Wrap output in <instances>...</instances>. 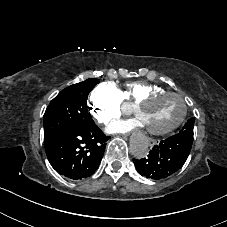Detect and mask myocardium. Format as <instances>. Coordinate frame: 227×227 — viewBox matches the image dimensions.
Listing matches in <instances>:
<instances>
[{"label":"myocardium","instance_id":"f54148a6","mask_svg":"<svg viewBox=\"0 0 227 227\" xmlns=\"http://www.w3.org/2000/svg\"><path fill=\"white\" fill-rule=\"evenodd\" d=\"M164 95H172L177 97L178 99L181 100L182 104H183V112L182 115L180 116V118L177 120V122L175 124H173L170 128L166 129V130H162V131H153V130H146L147 134L150 136H155V137H162L165 136L169 133L174 132L175 130H177L185 121L187 114H188V104H187V99L186 97L177 91H168V90H162V91H158V92H153L150 94H147L145 96H143L142 98H140L139 100H137L134 104V116L136 118V110L141 107L142 105H145L161 96Z\"/></svg>","mask_w":227,"mask_h":227}]
</instances>
